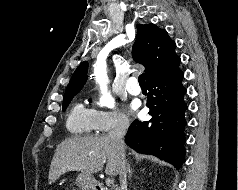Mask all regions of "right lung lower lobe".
<instances>
[{"instance_id":"1","label":"right lung lower lobe","mask_w":238,"mask_h":190,"mask_svg":"<svg viewBox=\"0 0 238 190\" xmlns=\"http://www.w3.org/2000/svg\"><path fill=\"white\" fill-rule=\"evenodd\" d=\"M180 58L164 72L147 81V106L152 118L135 120L129 127L125 142L140 153L152 154L173 164L177 169L185 162L186 126L184 102L186 88L179 69Z\"/></svg>"}]
</instances>
